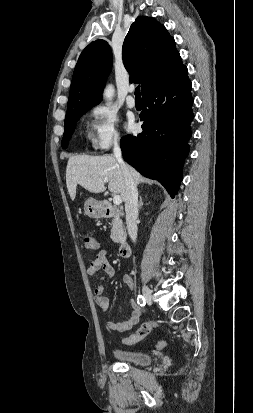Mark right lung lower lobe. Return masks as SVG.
Returning a JSON list of instances; mask_svg holds the SVG:
<instances>
[{
	"mask_svg": "<svg viewBox=\"0 0 253 413\" xmlns=\"http://www.w3.org/2000/svg\"><path fill=\"white\" fill-rule=\"evenodd\" d=\"M191 81L186 66L170 80L147 90L140 114L143 132L121 140L124 160L143 176L158 180L177 194L189 153L192 112Z\"/></svg>",
	"mask_w": 253,
	"mask_h": 413,
	"instance_id": "obj_1",
	"label": "right lung lower lobe"
}]
</instances>
